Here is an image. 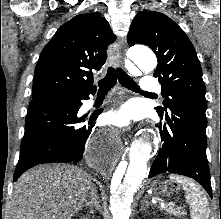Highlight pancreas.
<instances>
[{
    "label": "pancreas",
    "mask_w": 221,
    "mask_h": 219,
    "mask_svg": "<svg viewBox=\"0 0 221 219\" xmlns=\"http://www.w3.org/2000/svg\"><path fill=\"white\" fill-rule=\"evenodd\" d=\"M163 210L166 211L168 214H171L179 218L185 215L184 211H181L179 208H174L173 206H165Z\"/></svg>",
    "instance_id": "obj_1"
}]
</instances>
